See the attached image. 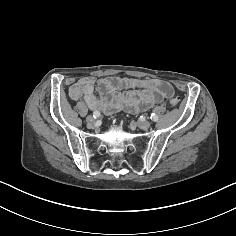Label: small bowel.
Wrapping results in <instances>:
<instances>
[{
    "mask_svg": "<svg viewBox=\"0 0 236 236\" xmlns=\"http://www.w3.org/2000/svg\"><path fill=\"white\" fill-rule=\"evenodd\" d=\"M172 96L169 82L152 78L112 76L96 83L92 77H83L69 88L71 100L82 99L90 109L105 115L122 109L137 113Z\"/></svg>",
    "mask_w": 236,
    "mask_h": 236,
    "instance_id": "c3829d8e",
    "label": "small bowel"
}]
</instances>
